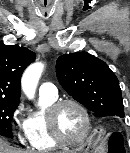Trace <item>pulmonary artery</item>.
Instances as JSON below:
<instances>
[{
    "instance_id": "obj_1",
    "label": "pulmonary artery",
    "mask_w": 130,
    "mask_h": 153,
    "mask_svg": "<svg viewBox=\"0 0 130 153\" xmlns=\"http://www.w3.org/2000/svg\"><path fill=\"white\" fill-rule=\"evenodd\" d=\"M39 94L49 97H57L58 90L56 86L51 82H44L39 87Z\"/></svg>"
}]
</instances>
